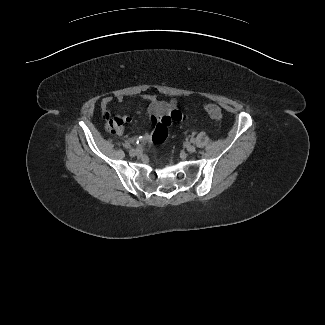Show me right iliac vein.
Wrapping results in <instances>:
<instances>
[{
	"mask_svg": "<svg viewBox=\"0 0 325 325\" xmlns=\"http://www.w3.org/2000/svg\"><path fill=\"white\" fill-rule=\"evenodd\" d=\"M129 154H130L131 156H136V155H137V150L134 149V148H130V149H129Z\"/></svg>",
	"mask_w": 325,
	"mask_h": 325,
	"instance_id": "1",
	"label": "right iliac vein"
}]
</instances>
